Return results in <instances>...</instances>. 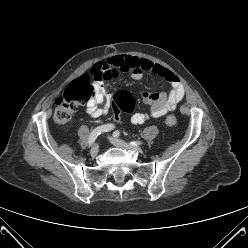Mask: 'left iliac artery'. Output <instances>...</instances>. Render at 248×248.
<instances>
[{
  "mask_svg": "<svg viewBox=\"0 0 248 248\" xmlns=\"http://www.w3.org/2000/svg\"><path fill=\"white\" fill-rule=\"evenodd\" d=\"M113 136L118 138L120 136V132L118 130L114 131ZM129 144H133V145H141L142 142L141 141H130Z\"/></svg>",
  "mask_w": 248,
  "mask_h": 248,
  "instance_id": "obj_1",
  "label": "left iliac artery"
}]
</instances>
